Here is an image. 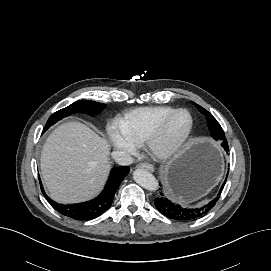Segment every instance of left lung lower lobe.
Wrapping results in <instances>:
<instances>
[{
    "instance_id": "left-lung-lower-lobe-1",
    "label": "left lung lower lobe",
    "mask_w": 271,
    "mask_h": 271,
    "mask_svg": "<svg viewBox=\"0 0 271 271\" xmlns=\"http://www.w3.org/2000/svg\"><path fill=\"white\" fill-rule=\"evenodd\" d=\"M221 145L225 149V151L228 152L229 149H228V143L226 139L222 140ZM225 182L226 180L224 181L217 197L202 207L182 208L180 205L174 204L171 200L166 198L162 193H161V197L155 199V207L164 216L173 220H179V221L196 220L200 217H203L215 206L224 188Z\"/></svg>"
}]
</instances>
